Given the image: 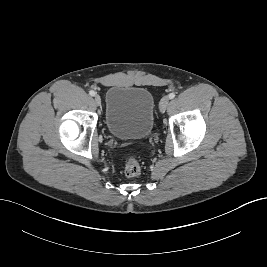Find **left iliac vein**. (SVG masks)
I'll use <instances>...</instances> for the list:
<instances>
[{"label":"left iliac vein","instance_id":"1","mask_svg":"<svg viewBox=\"0 0 267 267\" xmlns=\"http://www.w3.org/2000/svg\"><path fill=\"white\" fill-rule=\"evenodd\" d=\"M169 104V98L168 97H163L160 101L159 104V109L161 112H164Z\"/></svg>","mask_w":267,"mask_h":267}]
</instances>
